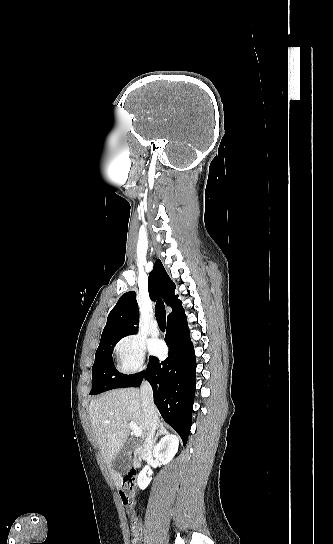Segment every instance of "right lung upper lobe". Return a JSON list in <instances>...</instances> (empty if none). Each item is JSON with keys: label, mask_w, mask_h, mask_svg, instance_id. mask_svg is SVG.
<instances>
[{"label": "right lung upper lobe", "mask_w": 333, "mask_h": 544, "mask_svg": "<svg viewBox=\"0 0 333 544\" xmlns=\"http://www.w3.org/2000/svg\"><path fill=\"white\" fill-rule=\"evenodd\" d=\"M148 291L153 299L161 295L165 303L172 308V312L167 318L184 313L182 302L178 299V295H175V284L160 260L155 262L149 275ZM138 323L139 311L136 293L129 291L119 298L116 306L110 311L101 339L136 334Z\"/></svg>", "instance_id": "obj_1"}]
</instances>
